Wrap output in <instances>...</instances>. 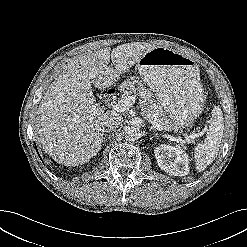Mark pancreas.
<instances>
[{
  "instance_id": "obj_1",
  "label": "pancreas",
  "mask_w": 247,
  "mask_h": 247,
  "mask_svg": "<svg viewBox=\"0 0 247 247\" xmlns=\"http://www.w3.org/2000/svg\"><path fill=\"white\" fill-rule=\"evenodd\" d=\"M122 96L134 95L139 97L140 108L142 115L147 119L150 116L156 120L164 129L169 130L171 127L170 120L162 110L161 106L156 104L155 97L152 92L146 89L138 80H127L122 86Z\"/></svg>"
}]
</instances>
